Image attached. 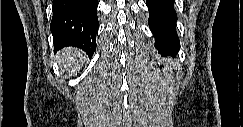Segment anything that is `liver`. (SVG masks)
Listing matches in <instances>:
<instances>
[{
    "label": "liver",
    "mask_w": 243,
    "mask_h": 127,
    "mask_svg": "<svg viewBox=\"0 0 243 127\" xmlns=\"http://www.w3.org/2000/svg\"><path fill=\"white\" fill-rule=\"evenodd\" d=\"M85 56L80 50L74 48H66L61 51L60 61L67 72L73 74L83 65ZM80 63V64H79Z\"/></svg>",
    "instance_id": "obj_1"
}]
</instances>
